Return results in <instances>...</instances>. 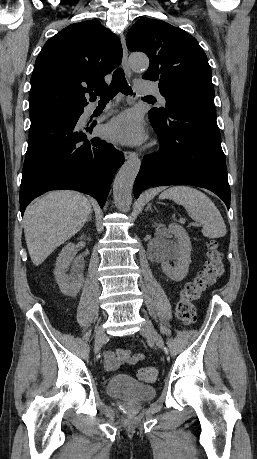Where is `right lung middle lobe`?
I'll use <instances>...</instances> for the list:
<instances>
[{"mask_svg":"<svg viewBox=\"0 0 257 459\" xmlns=\"http://www.w3.org/2000/svg\"><path fill=\"white\" fill-rule=\"evenodd\" d=\"M82 107H66V108H59V109H54V110H48V111H43L39 112L38 114H49V113H54L58 111L66 112V113H76L81 110Z\"/></svg>","mask_w":257,"mask_h":459,"instance_id":"obj_1","label":"right lung middle lobe"}]
</instances>
